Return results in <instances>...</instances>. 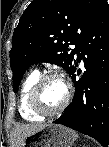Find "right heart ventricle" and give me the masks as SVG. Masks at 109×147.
Returning <instances> with one entry per match:
<instances>
[{
	"label": "right heart ventricle",
	"instance_id": "1",
	"mask_svg": "<svg viewBox=\"0 0 109 147\" xmlns=\"http://www.w3.org/2000/svg\"><path fill=\"white\" fill-rule=\"evenodd\" d=\"M39 72L37 70L32 71L28 76L25 78L21 90H20V97H19V112L21 116L30 122H37L42 119L41 116L34 114L28 107V97L31 92V89L37 79L39 78Z\"/></svg>",
	"mask_w": 109,
	"mask_h": 147
}]
</instances>
